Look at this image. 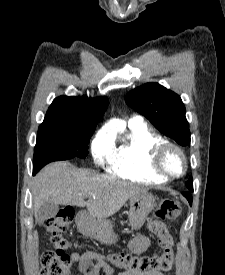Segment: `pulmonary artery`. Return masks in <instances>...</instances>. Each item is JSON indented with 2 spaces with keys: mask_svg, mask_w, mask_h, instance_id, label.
I'll return each mask as SVG.
<instances>
[{
  "mask_svg": "<svg viewBox=\"0 0 225 275\" xmlns=\"http://www.w3.org/2000/svg\"><path fill=\"white\" fill-rule=\"evenodd\" d=\"M143 121V118L141 116H133L131 119H130V123L131 124H137V123H142Z\"/></svg>",
  "mask_w": 225,
  "mask_h": 275,
  "instance_id": "obj_1",
  "label": "pulmonary artery"
}]
</instances>
